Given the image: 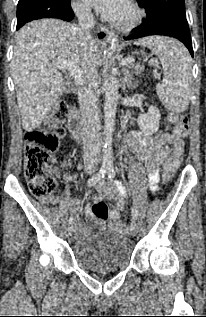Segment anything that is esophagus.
<instances>
[{
	"label": "esophagus",
	"mask_w": 206,
	"mask_h": 317,
	"mask_svg": "<svg viewBox=\"0 0 206 317\" xmlns=\"http://www.w3.org/2000/svg\"><path fill=\"white\" fill-rule=\"evenodd\" d=\"M96 36L103 41H118L116 35L112 34L108 29L101 27L96 33Z\"/></svg>",
	"instance_id": "34e87169"
}]
</instances>
